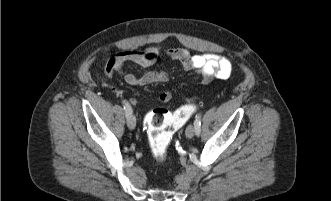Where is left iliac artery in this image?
I'll use <instances>...</instances> for the list:
<instances>
[{
  "mask_svg": "<svg viewBox=\"0 0 331 201\" xmlns=\"http://www.w3.org/2000/svg\"><path fill=\"white\" fill-rule=\"evenodd\" d=\"M194 127L196 135H199L201 132V114H198L196 116V119L194 121Z\"/></svg>",
  "mask_w": 331,
  "mask_h": 201,
  "instance_id": "44dca946",
  "label": "left iliac artery"
}]
</instances>
